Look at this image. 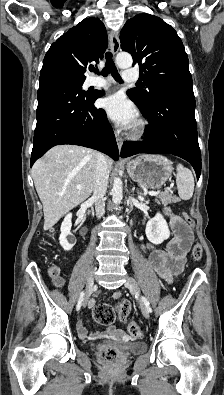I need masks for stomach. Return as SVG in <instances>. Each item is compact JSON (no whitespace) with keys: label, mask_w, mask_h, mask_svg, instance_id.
Listing matches in <instances>:
<instances>
[{"label":"stomach","mask_w":224,"mask_h":395,"mask_svg":"<svg viewBox=\"0 0 224 395\" xmlns=\"http://www.w3.org/2000/svg\"><path fill=\"white\" fill-rule=\"evenodd\" d=\"M131 179L146 188H160L173 171L172 162L160 155H140L127 163Z\"/></svg>","instance_id":"0dacf381"}]
</instances>
